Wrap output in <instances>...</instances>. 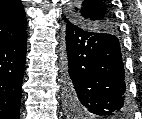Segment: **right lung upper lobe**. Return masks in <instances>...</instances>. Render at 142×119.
Here are the masks:
<instances>
[{"mask_svg": "<svg viewBox=\"0 0 142 119\" xmlns=\"http://www.w3.org/2000/svg\"><path fill=\"white\" fill-rule=\"evenodd\" d=\"M27 30L25 11L20 0H0V43Z\"/></svg>", "mask_w": 142, "mask_h": 119, "instance_id": "obj_1", "label": "right lung upper lobe"}]
</instances>
